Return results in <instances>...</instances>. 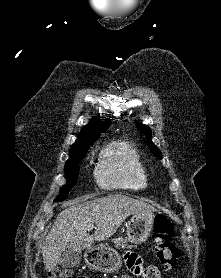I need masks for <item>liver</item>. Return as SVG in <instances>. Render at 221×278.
Wrapping results in <instances>:
<instances>
[{"label": "liver", "instance_id": "obj_1", "mask_svg": "<svg viewBox=\"0 0 221 278\" xmlns=\"http://www.w3.org/2000/svg\"><path fill=\"white\" fill-rule=\"evenodd\" d=\"M84 201L69 202L48 233L42 249L47 271L55 269L67 249L81 252L95 241L110 238L130 215L154 211L151 205L122 194ZM90 224L95 225L93 235L87 233Z\"/></svg>", "mask_w": 221, "mask_h": 278}]
</instances>
